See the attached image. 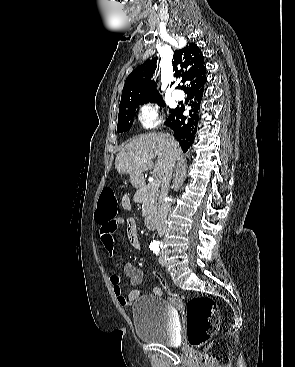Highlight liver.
<instances>
[{
	"instance_id": "obj_1",
	"label": "liver",
	"mask_w": 295,
	"mask_h": 367,
	"mask_svg": "<svg viewBox=\"0 0 295 367\" xmlns=\"http://www.w3.org/2000/svg\"><path fill=\"white\" fill-rule=\"evenodd\" d=\"M182 150L173 137L163 133H146L130 141L117 155L115 168L119 174L140 175L153 169L162 181L180 160ZM157 157L155 164L152 159Z\"/></svg>"
}]
</instances>
